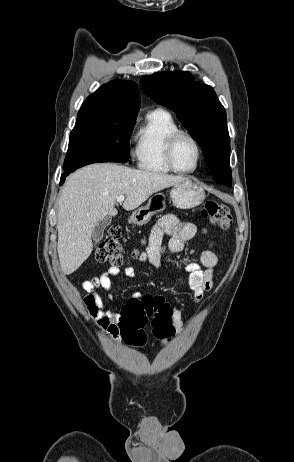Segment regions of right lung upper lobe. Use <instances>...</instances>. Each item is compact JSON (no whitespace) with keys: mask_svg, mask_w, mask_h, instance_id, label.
Listing matches in <instances>:
<instances>
[{"mask_svg":"<svg viewBox=\"0 0 294 462\" xmlns=\"http://www.w3.org/2000/svg\"><path fill=\"white\" fill-rule=\"evenodd\" d=\"M141 99L136 83L116 79L100 87L83 103L79 112L102 111L137 115Z\"/></svg>","mask_w":294,"mask_h":462,"instance_id":"obj_1","label":"right lung upper lobe"}]
</instances>
